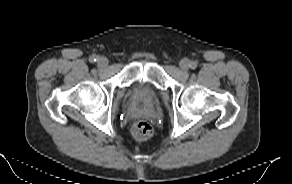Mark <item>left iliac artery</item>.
<instances>
[{"label": "left iliac artery", "instance_id": "obj_1", "mask_svg": "<svg viewBox=\"0 0 292 184\" xmlns=\"http://www.w3.org/2000/svg\"><path fill=\"white\" fill-rule=\"evenodd\" d=\"M189 66H190V68L195 69L197 67V62L192 61V62H190Z\"/></svg>", "mask_w": 292, "mask_h": 184}]
</instances>
